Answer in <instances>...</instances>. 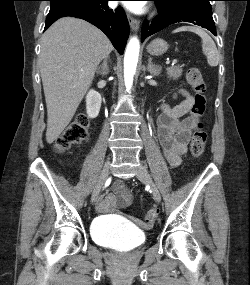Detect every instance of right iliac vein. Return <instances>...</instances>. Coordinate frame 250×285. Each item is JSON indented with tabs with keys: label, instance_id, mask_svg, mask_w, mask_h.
Masks as SVG:
<instances>
[{
	"label": "right iliac vein",
	"instance_id": "obj_1",
	"mask_svg": "<svg viewBox=\"0 0 250 285\" xmlns=\"http://www.w3.org/2000/svg\"><path fill=\"white\" fill-rule=\"evenodd\" d=\"M109 167H110V161H107L103 167V170L100 174V177L98 179V182L93 190L92 193V197H91V201L92 203H95L98 199V196L100 194V191L104 185V183L106 182L108 175H109Z\"/></svg>",
	"mask_w": 250,
	"mask_h": 285
}]
</instances>
